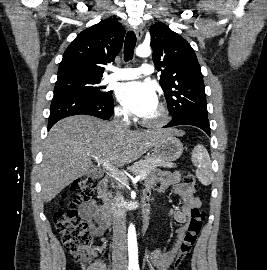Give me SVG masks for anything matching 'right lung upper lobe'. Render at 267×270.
<instances>
[{
	"label": "right lung upper lobe",
	"instance_id": "obj_1",
	"mask_svg": "<svg viewBox=\"0 0 267 270\" xmlns=\"http://www.w3.org/2000/svg\"><path fill=\"white\" fill-rule=\"evenodd\" d=\"M124 36V27L115 19L85 29L65 50L57 76L102 78L103 66L118 55Z\"/></svg>",
	"mask_w": 267,
	"mask_h": 270
}]
</instances>
